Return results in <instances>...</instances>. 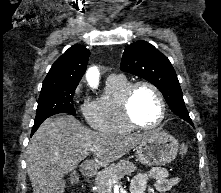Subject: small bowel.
<instances>
[{
  "label": "small bowel",
  "mask_w": 221,
  "mask_h": 193,
  "mask_svg": "<svg viewBox=\"0 0 221 193\" xmlns=\"http://www.w3.org/2000/svg\"><path fill=\"white\" fill-rule=\"evenodd\" d=\"M150 180L155 181V187L160 193L170 191L174 186L181 182L178 176L170 177L167 169L164 167H154L145 173L136 174L130 184L131 193H145L147 183Z\"/></svg>",
  "instance_id": "obj_1"
}]
</instances>
